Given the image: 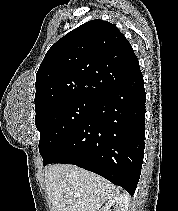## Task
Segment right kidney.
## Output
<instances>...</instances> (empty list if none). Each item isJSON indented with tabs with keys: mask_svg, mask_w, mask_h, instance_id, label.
<instances>
[{
	"mask_svg": "<svg viewBox=\"0 0 178 211\" xmlns=\"http://www.w3.org/2000/svg\"><path fill=\"white\" fill-rule=\"evenodd\" d=\"M130 198L127 194H118L114 198L107 201L100 211H128Z\"/></svg>",
	"mask_w": 178,
	"mask_h": 211,
	"instance_id": "obj_1",
	"label": "right kidney"
}]
</instances>
